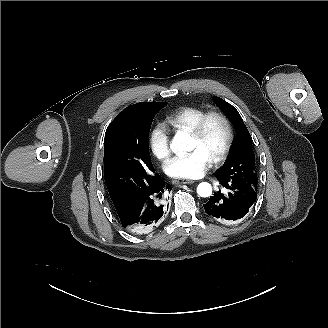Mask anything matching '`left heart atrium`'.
I'll return each instance as SVG.
<instances>
[{"mask_svg": "<svg viewBox=\"0 0 328 328\" xmlns=\"http://www.w3.org/2000/svg\"><path fill=\"white\" fill-rule=\"evenodd\" d=\"M212 166V160L201 150H192L183 155H177L164 164L165 172L182 179H198Z\"/></svg>", "mask_w": 328, "mask_h": 328, "instance_id": "1", "label": "left heart atrium"}]
</instances>
